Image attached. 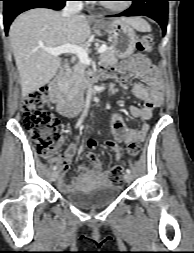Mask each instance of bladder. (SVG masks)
I'll return each mask as SVG.
<instances>
[{"label":"bladder","mask_w":194,"mask_h":253,"mask_svg":"<svg viewBox=\"0 0 194 253\" xmlns=\"http://www.w3.org/2000/svg\"><path fill=\"white\" fill-rule=\"evenodd\" d=\"M120 195V189L113 184H100L77 188L64 195L70 204L84 210L101 209L114 202Z\"/></svg>","instance_id":"bladder-1"}]
</instances>
